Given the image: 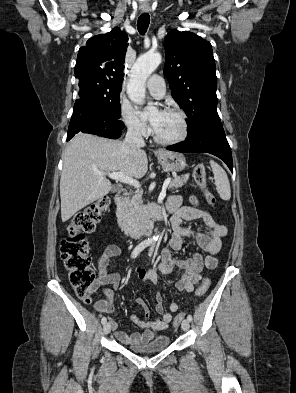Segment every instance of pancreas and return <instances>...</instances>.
<instances>
[{
    "label": "pancreas",
    "instance_id": "pancreas-1",
    "mask_svg": "<svg viewBox=\"0 0 296 393\" xmlns=\"http://www.w3.org/2000/svg\"><path fill=\"white\" fill-rule=\"evenodd\" d=\"M188 179V175L174 177L169 183V189L174 190L184 186ZM143 215L144 206L142 202V193L138 191L121 204L118 218L123 230L129 231L140 224Z\"/></svg>",
    "mask_w": 296,
    "mask_h": 393
}]
</instances>
